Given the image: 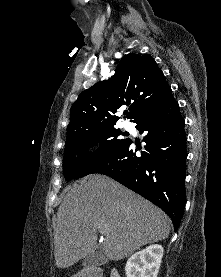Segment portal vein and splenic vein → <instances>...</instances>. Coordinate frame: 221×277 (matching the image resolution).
I'll list each match as a JSON object with an SVG mask.
<instances>
[{
  "instance_id": "18ae733b",
  "label": "portal vein and splenic vein",
  "mask_w": 221,
  "mask_h": 277,
  "mask_svg": "<svg viewBox=\"0 0 221 277\" xmlns=\"http://www.w3.org/2000/svg\"><path fill=\"white\" fill-rule=\"evenodd\" d=\"M100 233H101V234H103V233H104V231L101 229V230H100Z\"/></svg>"
}]
</instances>
